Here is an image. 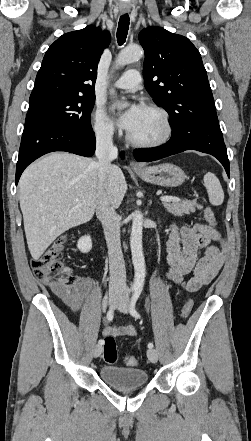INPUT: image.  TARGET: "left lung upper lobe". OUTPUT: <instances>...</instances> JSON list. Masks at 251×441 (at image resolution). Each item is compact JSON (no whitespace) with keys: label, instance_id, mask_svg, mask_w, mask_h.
Returning a JSON list of instances; mask_svg holds the SVG:
<instances>
[{"label":"left lung upper lobe","instance_id":"obj_1","mask_svg":"<svg viewBox=\"0 0 251 441\" xmlns=\"http://www.w3.org/2000/svg\"><path fill=\"white\" fill-rule=\"evenodd\" d=\"M139 42L145 51L144 85L168 112L172 130L193 115L217 116L200 53L188 38L147 27Z\"/></svg>","mask_w":251,"mask_h":441}]
</instances>
